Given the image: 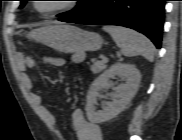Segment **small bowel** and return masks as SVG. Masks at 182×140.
<instances>
[{
    "instance_id": "1",
    "label": "small bowel",
    "mask_w": 182,
    "mask_h": 140,
    "mask_svg": "<svg viewBox=\"0 0 182 140\" xmlns=\"http://www.w3.org/2000/svg\"><path fill=\"white\" fill-rule=\"evenodd\" d=\"M16 62L18 69L22 73L23 81L26 88H33V79L29 75L28 71L35 68V59L26 56L22 52H19L16 55ZM43 62L47 65L56 67H62L65 65V60L63 58L54 56L44 57ZM32 100L36 105L39 106L40 112L45 122L53 128L56 123V117L54 113L47 106L43 105L42 97L39 94H32ZM71 120L77 140H102V132L99 125L87 120L81 108L74 109L71 115ZM53 131L58 138H62L59 131H57L56 129H53Z\"/></svg>"
}]
</instances>
